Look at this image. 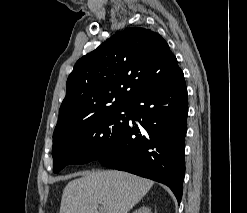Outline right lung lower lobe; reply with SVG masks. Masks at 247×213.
<instances>
[{
  "label": "right lung lower lobe",
  "instance_id": "98d812e1",
  "mask_svg": "<svg viewBox=\"0 0 247 213\" xmlns=\"http://www.w3.org/2000/svg\"><path fill=\"white\" fill-rule=\"evenodd\" d=\"M129 105L128 123L99 162L167 185L180 203L188 114L183 72L176 68L140 91Z\"/></svg>",
  "mask_w": 247,
  "mask_h": 213
}]
</instances>
